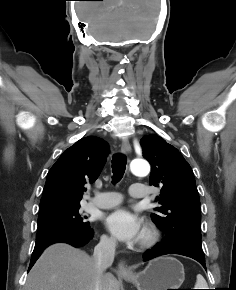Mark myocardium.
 <instances>
[{
    "label": "myocardium",
    "mask_w": 236,
    "mask_h": 290,
    "mask_svg": "<svg viewBox=\"0 0 236 290\" xmlns=\"http://www.w3.org/2000/svg\"><path fill=\"white\" fill-rule=\"evenodd\" d=\"M158 238V233L153 227H147L140 240L141 247H150L155 244Z\"/></svg>",
    "instance_id": "myocardium-1"
}]
</instances>
